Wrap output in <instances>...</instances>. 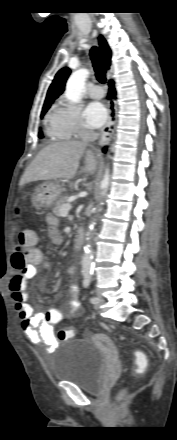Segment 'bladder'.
I'll use <instances>...</instances> for the list:
<instances>
[{
    "mask_svg": "<svg viewBox=\"0 0 177 440\" xmlns=\"http://www.w3.org/2000/svg\"><path fill=\"white\" fill-rule=\"evenodd\" d=\"M98 347L92 341L69 339L56 349L50 365L53 380L74 383L83 391L96 394L102 389L109 351L114 346L109 339Z\"/></svg>",
    "mask_w": 177,
    "mask_h": 440,
    "instance_id": "bladder-1",
    "label": "bladder"
}]
</instances>
